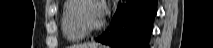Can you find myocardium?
<instances>
[{"label": "myocardium", "mask_w": 213, "mask_h": 48, "mask_svg": "<svg viewBox=\"0 0 213 48\" xmlns=\"http://www.w3.org/2000/svg\"><path fill=\"white\" fill-rule=\"evenodd\" d=\"M90 2H94V1L78 0V3L74 9V19H75L77 25L79 26V28L86 34H91V33L97 32L104 25V21L102 19H100V21L96 25H93V26L88 25L86 23L84 17L82 16V9L86 4H88Z\"/></svg>", "instance_id": "1"}]
</instances>
